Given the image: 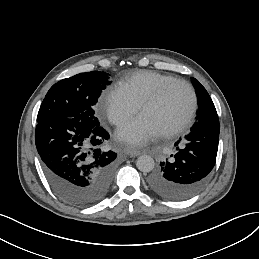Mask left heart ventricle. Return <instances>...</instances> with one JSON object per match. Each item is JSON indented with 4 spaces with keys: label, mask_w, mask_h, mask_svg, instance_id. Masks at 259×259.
Listing matches in <instances>:
<instances>
[{
    "label": "left heart ventricle",
    "mask_w": 259,
    "mask_h": 259,
    "mask_svg": "<svg viewBox=\"0 0 259 259\" xmlns=\"http://www.w3.org/2000/svg\"><path fill=\"white\" fill-rule=\"evenodd\" d=\"M191 104L189 90L183 84L172 85L154 106L143 110L139 117L150 127L163 133L173 128L188 112Z\"/></svg>",
    "instance_id": "obj_1"
}]
</instances>
